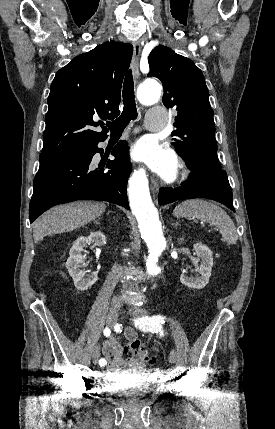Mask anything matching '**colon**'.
Here are the masks:
<instances>
[{
	"label": "colon",
	"mask_w": 275,
	"mask_h": 429,
	"mask_svg": "<svg viewBox=\"0 0 275 429\" xmlns=\"http://www.w3.org/2000/svg\"><path fill=\"white\" fill-rule=\"evenodd\" d=\"M131 352L135 355V357L143 362H145L147 365L151 366L154 362L153 358L149 357L146 352L144 351L143 347L141 346V343L139 340L133 341L131 343ZM151 372H153L152 369H150Z\"/></svg>",
	"instance_id": "1"
}]
</instances>
